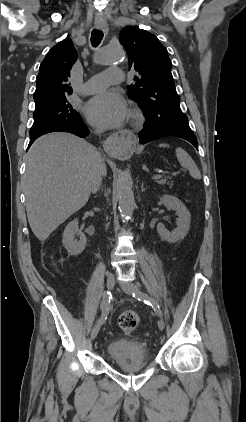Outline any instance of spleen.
<instances>
[{"label":"spleen","instance_id":"1","mask_svg":"<svg viewBox=\"0 0 246 422\" xmlns=\"http://www.w3.org/2000/svg\"><path fill=\"white\" fill-rule=\"evenodd\" d=\"M160 147H168L169 145L167 144H160ZM176 157L179 161V163L181 164L182 167L188 169L190 175L194 178V179H201V173L197 167V165L195 164V162L193 161V159L190 157V155L182 148H177L176 149Z\"/></svg>","mask_w":246,"mask_h":422}]
</instances>
